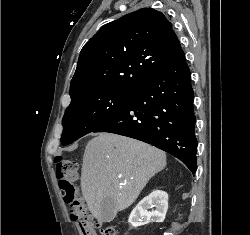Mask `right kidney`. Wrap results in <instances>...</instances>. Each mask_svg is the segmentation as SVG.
Instances as JSON below:
<instances>
[{
	"instance_id": "right-kidney-1",
	"label": "right kidney",
	"mask_w": 250,
	"mask_h": 235,
	"mask_svg": "<svg viewBox=\"0 0 250 235\" xmlns=\"http://www.w3.org/2000/svg\"><path fill=\"white\" fill-rule=\"evenodd\" d=\"M155 207L154 210L149 209ZM168 209V194L162 190H154L143 198L132 210L128 222L133 227L147 224L150 221L163 222Z\"/></svg>"
}]
</instances>
